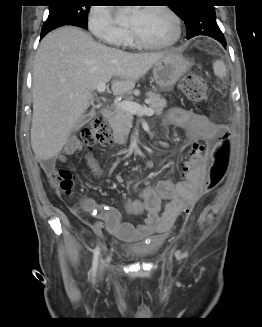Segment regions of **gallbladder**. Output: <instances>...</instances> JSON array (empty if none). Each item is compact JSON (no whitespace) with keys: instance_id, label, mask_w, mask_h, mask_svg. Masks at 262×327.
I'll return each mask as SVG.
<instances>
[{"instance_id":"bac80fb5","label":"gallbladder","mask_w":262,"mask_h":327,"mask_svg":"<svg viewBox=\"0 0 262 327\" xmlns=\"http://www.w3.org/2000/svg\"><path fill=\"white\" fill-rule=\"evenodd\" d=\"M92 118V114L91 113H85L83 114L75 123L74 125V129L77 130L79 128H81L83 125H85L86 123H88Z\"/></svg>"}]
</instances>
